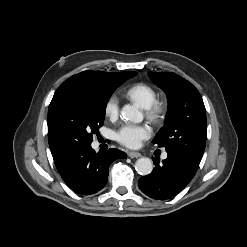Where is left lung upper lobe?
<instances>
[{
    "instance_id": "left-lung-upper-lobe-1",
    "label": "left lung upper lobe",
    "mask_w": 247,
    "mask_h": 247,
    "mask_svg": "<svg viewBox=\"0 0 247 247\" xmlns=\"http://www.w3.org/2000/svg\"><path fill=\"white\" fill-rule=\"evenodd\" d=\"M150 79L167 95L168 112L164 127L153 143L167 152L202 158L206 144V110L197 89L171 72H149Z\"/></svg>"
}]
</instances>
